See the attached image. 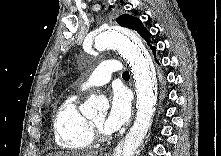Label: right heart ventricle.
Wrapping results in <instances>:
<instances>
[{"label": "right heart ventricle", "instance_id": "1", "mask_svg": "<svg viewBox=\"0 0 221 156\" xmlns=\"http://www.w3.org/2000/svg\"><path fill=\"white\" fill-rule=\"evenodd\" d=\"M56 144L66 150H83L92 142L90 121L79 110V96L69 95L58 107L54 118Z\"/></svg>", "mask_w": 221, "mask_h": 156}]
</instances>
